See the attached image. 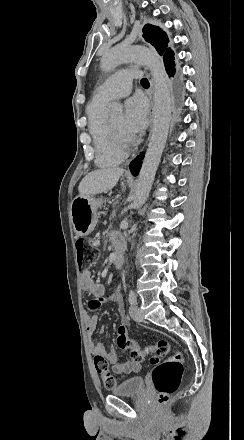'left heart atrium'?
<instances>
[{"instance_id":"39dd6f15","label":"left heart atrium","mask_w":244,"mask_h":440,"mask_svg":"<svg viewBox=\"0 0 244 440\" xmlns=\"http://www.w3.org/2000/svg\"><path fill=\"white\" fill-rule=\"evenodd\" d=\"M148 121V106L146 101L135 96L125 103L124 127L129 132H140L145 129Z\"/></svg>"}]
</instances>
